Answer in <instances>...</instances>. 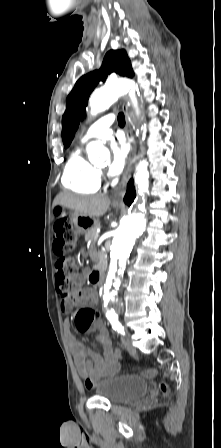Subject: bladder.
I'll return each mask as SVG.
<instances>
[{
  "label": "bladder",
  "instance_id": "31cf9c89",
  "mask_svg": "<svg viewBox=\"0 0 221 448\" xmlns=\"http://www.w3.org/2000/svg\"><path fill=\"white\" fill-rule=\"evenodd\" d=\"M99 397L112 404L136 400L147 393L148 382L136 374L114 373L100 381L95 387Z\"/></svg>",
  "mask_w": 221,
  "mask_h": 448
}]
</instances>
